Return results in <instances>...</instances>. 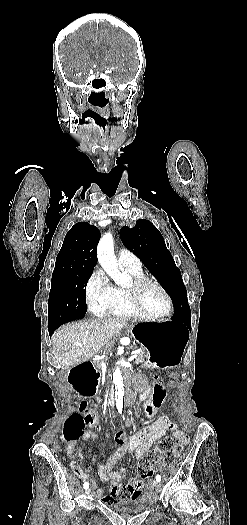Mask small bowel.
Listing matches in <instances>:
<instances>
[{
  "mask_svg": "<svg viewBox=\"0 0 247 525\" xmlns=\"http://www.w3.org/2000/svg\"><path fill=\"white\" fill-rule=\"evenodd\" d=\"M151 388L142 395L141 398L143 401H145V399H152L153 395L151 393ZM174 426L175 425L169 421L167 417L161 416L157 418V420L147 424L142 430L132 436H127L122 431H118L115 434V441L118 443L119 447L105 462L99 461L97 463V472L100 480L103 482H109L112 485L111 492L102 496L106 506H124L126 502L125 497L131 496L133 490L136 496L130 499H136L137 496L143 494L142 487L146 482L140 481L139 479H133L131 482H125L123 485L122 481L126 477L128 470L126 468H121L114 471L113 469L127 453L132 452L136 459L141 458L149 452L157 441L164 437L169 427ZM175 437L178 441H183L184 444L187 442V436L180 430L175 432ZM97 439V434L90 430L85 431L81 436L82 441H96ZM180 451L181 450L173 451V455H179ZM68 453L71 458V468L73 472L81 480L90 482L92 486L95 487L94 479L88 472L83 470L80 465V459H82L81 447L77 446L76 443H71ZM122 487L124 488L123 491ZM102 493V489L97 490V494L100 496Z\"/></svg>",
  "mask_w": 247,
  "mask_h": 525,
  "instance_id": "small-bowel-1",
  "label": "small bowel"
}]
</instances>
